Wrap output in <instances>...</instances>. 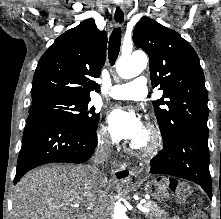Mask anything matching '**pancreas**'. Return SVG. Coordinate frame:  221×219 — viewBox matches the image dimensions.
<instances>
[{
	"instance_id": "1",
	"label": "pancreas",
	"mask_w": 221,
	"mask_h": 219,
	"mask_svg": "<svg viewBox=\"0 0 221 219\" xmlns=\"http://www.w3.org/2000/svg\"><path fill=\"white\" fill-rule=\"evenodd\" d=\"M144 207L149 209V212L144 213L149 219H170L167 218L168 212L158 207V205L152 201L146 202ZM172 219H179V217H173Z\"/></svg>"
}]
</instances>
